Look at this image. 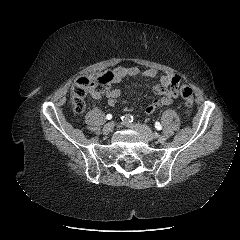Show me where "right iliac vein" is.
Returning a JSON list of instances; mask_svg holds the SVG:
<instances>
[{
    "label": "right iliac vein",
    "instance_id": "63e3f726",
    "mask_svg": "<svg viewBox=\"0 0 240 240\" xmlns=\"http://www.w3.org/2000/svg\"><path fill=\"white\" fill-rule=\"evenodd\" d=\"M114 127H115V122H109L104 126L103 132L105 134H109L114 130Z\"/></svg>",
    "mask_w": 240,
    "mask_h": 240
}]
</instances>
